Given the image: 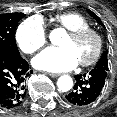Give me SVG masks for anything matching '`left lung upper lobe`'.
Returning <instances> with one entry per match:
<instances>
[{
	"mask_svg": "<svg viewBox=\"0 0 117 117\" xmlns=\"http://www.w3.org/2000/svg\"><path fill=\"white\" fill-rule=\"evenodd\" d=\"M88 13L99 23L102 24L100 18L94 14L92 11L88 10ZM105 27V26H103ZM108 51L106 50L102 57L100 58V60L98 61V63L96 64V66L94 68H98V69H103L106 71H109V65H108Z\"/></svg>",
	"mask_w": 117,
	"mask_h": 117,
	"instance_id": "1",
	"label": "left lung upper lobe"
}]
</instances>
